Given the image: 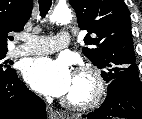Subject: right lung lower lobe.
Returning a JSON list of instances; mask_svg holds the SVG:
<instances>
[{"instance_id": "right-lung-lower-lobe-1", "label": "right lung lower lobe", "mask_w": 142, "mask_h": 119, "mask_svg": "<svg viewBox=\"0 0 142 119\" xmlns=\"http://www.w3.org/2000/svg\"><path fill=\"white\" fill-rule=\"evenodd\" d=\"M46 105L18 79L0 78V119H46Z\"/></svg>"}]
</instances>
